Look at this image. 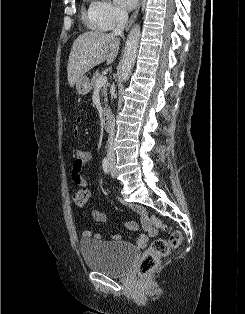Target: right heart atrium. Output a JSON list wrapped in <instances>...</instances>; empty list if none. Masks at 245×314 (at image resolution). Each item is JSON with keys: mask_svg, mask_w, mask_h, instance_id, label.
Wrapping results in <instances>:
<instances>
[{"mask_svg": "<svg viewBox=\"0 0 245 314\" xmlns=\"http://www.w3.org/2000/svg\"><path fill=\"white\" fill-rule=\"evenodd\" d=\"M91 8L94 27L100 31H110L125 19V13L109 1L95 0Z\"/></svg>", "mask_w": 245, "mask_h": 314, "instance_id": "1", "label": "right heart atrium"}]
</instances>
